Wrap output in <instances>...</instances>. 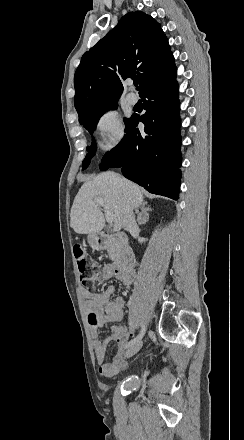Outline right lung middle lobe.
I'll return each mask as SVG.
<instances>
[{
    "instance_id": "1",
    "label": "right lung middle lobe",
    "mask_w": 244,
    "mask_h": 440,
    "mask_svg": "<svg viewBox=\"0 0 244 440\" xmlns=\"http://www.w3.org/2000/svg\"><path fill=\"white\" fill-rule=\"evenodd\" d=\"M117 102L118 99H112L103 102L102 104L85 109V110H77L79 115V122L90 132L92 133L94 129L96 128V125L99 121V118L102 116V114L107 110H113L117 108ZM128 119H125V124L127 123ZM89 149V153L84 159L82 163L83 170L88 167L90 160L92 156L94 155V151L96 150V144L93 141L92 145L90 147H87Z\"/></svg>"
}]
</instances>
